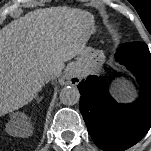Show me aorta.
I'll use <instances>...</instances> for the list:
<instances>
[{
	"label": "aorta",
	"mask_w": 151,
	"mask_h": 151,
	"mask_svg": "<svg viewBox=\"0 0 151 151\" xmlns=\"http://www.w3.org/2000/svg\"><path fill=\"white\" fill-rule=\"evenodd\" d=\"M80 93L76 87L67 86L60 92V101L66 106H72L79 102Z\"/></svg>",
	"instance_id": "obj_1"
}]
</instances>
